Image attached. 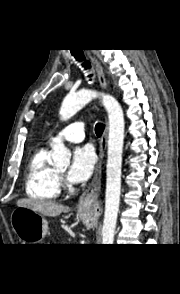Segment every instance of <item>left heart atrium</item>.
<instances>
[{"mask_svg":"<svg viewBox=\"0 0 180 294\" xmlns=\"http://www.w3.org/2000/svg\"><path fill=\"white\" fill-rule=\"evenodd\" d=\"M95 164L96 156L90 146L77 148L67 172L69 182L77 184L88 180L94 171Z\"/></svg>","mask_w":180,"mask_h":294,"instance_id":"39dd6f15","label":"left heart atrium"}]
</instances>
